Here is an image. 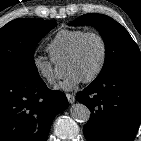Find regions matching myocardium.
<instances>
[{
    "label": "myocardium",
    "instance_id": "myocardium-1",
    "mask_svg": "<svg viewBox=\"0 0 141 141\" xmlns=\"http://www.w3.org/2000/svg\"><path fill=\"white\" fill-rule=\"evenodd\" d=\"M90 37H94V38L98 39V41L101 44L102 55H101V60H100L99 66L95 70V72L93 74H91L89 77L83 79V81L85 83H90V82L95 81L104 71V68H105L106 62H107V56H108L107 43H106L104 37L98 32H86L84 35H82L79 38V40L76 42V44L74 45V47L72 48V50L70 51L68 56L66 57V60L76 58L79 55L85 41Z\"/></svg>",
    "mask_w": 141,
    "mask_h": 141
}]
</instances>
